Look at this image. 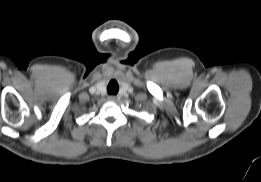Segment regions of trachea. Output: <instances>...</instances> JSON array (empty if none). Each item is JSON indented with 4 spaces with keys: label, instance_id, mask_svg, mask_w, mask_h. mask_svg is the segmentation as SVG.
<instances>
[{
    "label": "trachea",
    "instance_id": "obj_1",
    "mask_svg": "<svg viewBox=\"0 0 261 182\" xmlns=\"http://www.w3.org/2000/svg\"><path fill=\"white\" fill-rule=\"evenodd\" d=\"M119 91V86L115 80L110 81V83L107 86V92L108 94H117Z\"/></svg>",
    "mask_w": 261,
    "mask_h": 182
}]
</instances>
